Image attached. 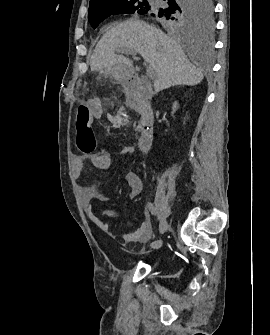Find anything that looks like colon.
I'll use <instances>...</instances> for the list:
<instances>
[{"label": "colon", "mask_w": 270, "mask_h": 335, "mask_svg": "<svg viewBox=\"0 0 270 335\" xmlns=\"http://www.w3.org/2000/svg\"><path fill=\"white\" fill-rule=\"evenodd\" d=\"M78 115L76 116L77 133L85 134L84 141H77L76 147L83 148L84 154H92L95 151L97 140L92 133L90 123H93V116H89L88 110L79 108Z\"/></svg>", "instance_id": "colon-1"}]
</instances>
